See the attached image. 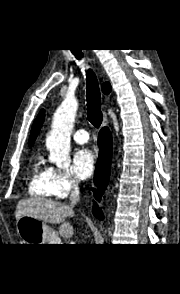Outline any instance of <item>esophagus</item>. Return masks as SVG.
I'll list each match as a JSON object with an SVG mask.
<instances>
[{
    "mask_svg": "<svg viewBox=\"0 0 180 294\" xmlns=\"http://www.w3.org/2000/svg\"><path fill=\"white\" fill-rule=\"evenodd\" d=\"M104 108H105V105H104ZM103 116H104V118H103V125H106L107 122H108V118H107V114H106L105 109H104V112H103Z\"/></svg>",
    "mask_w": 180,
    "mask_h": 294,
    "instance_id": "esophagus-1",
    "label": "esophagus"
}]
</instances>
